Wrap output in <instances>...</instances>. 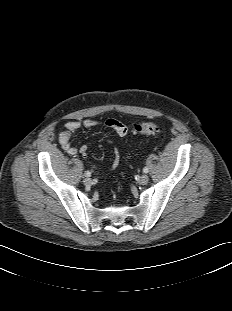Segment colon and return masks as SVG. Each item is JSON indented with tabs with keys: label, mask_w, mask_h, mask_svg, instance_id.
<instances>
[{
	"label": "colon",
	"mask_w": 232,
	"mask_h": 311,
	"mask_svg": "<svg viewBox=\"0 0 232 311\" xmlns=\"http://www.w3.org/2000/svg\"><path fill=\"white\" fill-rule=\"evenodd\" d=\"M133 130L138 134L153 135L160 132L161 127L156 122L148 121L135 124Z\"/></svg>",
	"instance_id": "colon-1"
}]
</instances>
